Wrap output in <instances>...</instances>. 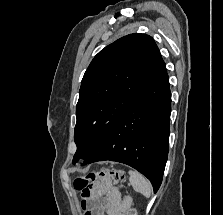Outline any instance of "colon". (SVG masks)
Returning <instances> with one entry per match:
<instances>
[{"label":"colon","mask_w":223,"mask_h":215,"mask_svg":"<svg viewBox=\"0 0 223 215\" xmlns=\"http://www.w3.org/2000/svg\"><path fill=\"white\" fill-rule=\"evenodd\" d=\"M104 178H111L115 182L121 184L125 181V174L121 170L104 167L99 171L89 172L78 176L74 181V187L77 191L83 193L84 195L92 188L94 183ZM126 215H137V212L134 208H130L127 210Z\"/></svg>","instance_id":"colon-1"}]
</instances>
